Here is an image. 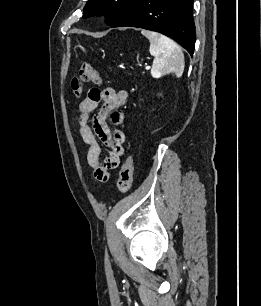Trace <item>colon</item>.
Here are the masks:
<instances>
[{
  "mask_svg": "<svg viewBox=\"0 0 261 306\" xmlns=\"http://www.w3.org/2000/svg\"><path fill=\"white\" fill-rule=\"evenodd\" d=\"M83 83H93L98 84L100 83V74L99 71L90 63L83 62L78 74L71 79L70 87L72 93L78 97L82 92V84ZM133 179V161L132 158L129 156L124 161L119 179H118V189L121 192H127L132 183Z\"/></svg>",
  "mask_w": 261,
  "mask_h": 306,
  "instance_id": "colon-1",
  "label": "colon"
}]
</instances>
